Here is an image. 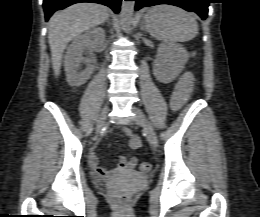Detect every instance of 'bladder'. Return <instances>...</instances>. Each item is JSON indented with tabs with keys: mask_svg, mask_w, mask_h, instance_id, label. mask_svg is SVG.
<instances>
[{
	"mask_svg": "<svg viewBox=\"0 0 260 217\" xmlns=\"http://www.w3.org/2000/svg\"><path fill=\"white\" fill-rule=\"evenodd\" d=\"M129 177H131V178H140V179L144 178L143 175H141V174H139L137 172H129Z\"/></svg>",
	"mask_w": 260,
	"mask_h": 217,
	"instance_id": "1",
	"label": "bladder"
}]
</instances>
